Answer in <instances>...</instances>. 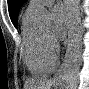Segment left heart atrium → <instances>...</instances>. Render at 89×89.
<instances>
[{
  "instance_id": "1",
  "label": "left heart atrium",
  "mask_w": 89,
  "mask_h": 89,
  "mask_svg": "<svg viewBox=\"0 0 89 89\" xmlns=\"http://www.w3.org/2000/svg\"><path fill=\"white\" fill-rule=\"evenodd\" d=\"M52 19V37L57 41L63 40L66 35L68 24L65 10L61 6H55L52 9Z\"/></svg>"
}]
</instances>
